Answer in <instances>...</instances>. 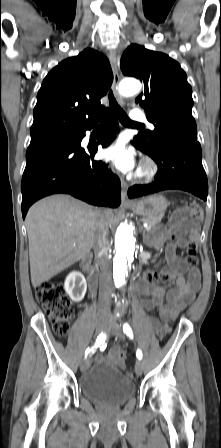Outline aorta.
<instances>
[{
	"label": "aorta",
	"instance_id": "762f6f07",
	"mask_svg": "<svg viewBox=\"0 0 221 448\" xmlns=\"http://www.w3.org/2000/svg\"><path fill=\"white\" fill-rule=\"evenodd\" d=\"M141 89V83L136 79L123 80L119 92L123 96L134 95ZM135 239L133 229L127 224H121L115 234V257L113 262V279L115 287L120 289L126 283V277L134 260Z\"/></svg>",
	"mask_w": 221,
	"mask_h": 448
}]
</instances>
